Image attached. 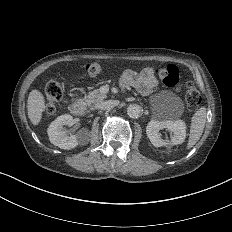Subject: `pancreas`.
<instances>
[{"mask_svg":"<svg viewBox=\"0 0 232 232\" xmlns=\"http://www.w3.org/2000/svg\"><path fill=\"white\" fill-rule=\"evenodd\" d=\"M106 97V94H103L98 89H96L89 92V94L82 101H84L85 105L90 109H96L100 106Z\"/></svg>","mask_w":232,"mask_h":232,"instance_id":"1","label":"pancreas"}]
</instances>
